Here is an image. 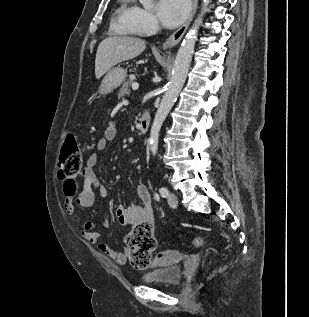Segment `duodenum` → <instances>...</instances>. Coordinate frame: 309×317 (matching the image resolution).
I'll return each mask as SVG.
<instances>
[{
  "label": "duodenum",
  "mask_w": 309,
  "mask_h": 317,
  "mask_svg": "<svg viewBox=\"0 0 309 317\" xmlns=\"http://www.w3.org/2000/svg\"><path fill=\"white\" fill-rule=\"evenodd\" d=\"M150 122H151L150 115L147 112L143 113L137 125V128L140 134H145L148 131Z\"/></svg>",
  "instance_id": "obj_1"
}]
</instances>
